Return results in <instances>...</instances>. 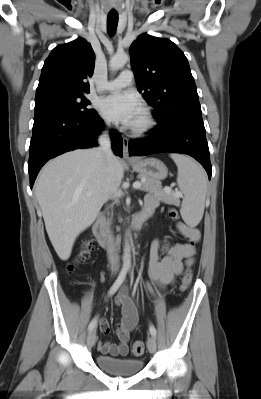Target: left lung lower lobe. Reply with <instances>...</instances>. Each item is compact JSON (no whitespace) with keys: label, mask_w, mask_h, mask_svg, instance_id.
<instances>
[{"label":"left lung lower lobe","mask_w":261,"mask_h":399,"mask_svg":"<svg viewBox=\"0 0 261 399\" xmlns=\"http://www.w3.org/2000/svg\"><path fill=\"white\" fill-rule=\"evenodd\" d=\"M145 139L129 141L130 155L144 156L162 152L187 154L195 158L211 178L212 168L202 114L180 116L171 123L160 125L147 132Z\"/></svg>","instance_id":"1"}]
</instances>
